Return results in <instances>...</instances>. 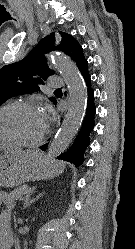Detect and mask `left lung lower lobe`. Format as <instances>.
<instances>
[{
    "label": "left lung lower lobe",
    "mask_w": 135,
    "mask_h": 249,
    "mask_svg": "<svg viewBox=\"0 0 135 249\" xmlns=\"http://www.w3.org/2000/svg\"><path fill=\"white\" fill-rule=\"evenodd\" d=\"M88 90L86 114L83 119L81 130L79 131L75 142L72 146L63 153L59 159L69 161L73 163L76 167L82 165L84 161V152L90 144V133L94 128V116L96 113V107L94 104V91L91 87V78L88 71V63L80 70ZM48 144L40 146V149L46 150Z\"/></svg>",
    "instance_id": "1"
}]
</instances>
